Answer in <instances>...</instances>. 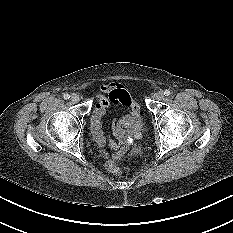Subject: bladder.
<instances>
[{
	"label": "bladder",
	"mask_w": 233,
	"mask_h": 233,
	"mask_svg": "<svg viewBox=\"0 0 233 233\" xmlns=\"http://www.w3.org/2000/svg\"><path fill=\"white\" fill-rule=\"evenodd\" d=\"M116 129H120L124 135L132 136L144 130V123L139 117L126 115L118 121Z\"/></svg>",
	"instance_id": "obj_1"
}]
</instances>
